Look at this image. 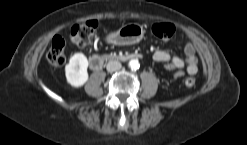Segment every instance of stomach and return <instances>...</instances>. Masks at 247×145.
<instances>
[{"mask_svg":"<svg viewBox=\"0 0 247 145\" xmlns=\"http://www.w3.org/2000/svg\"><path fill=\"white\" fill-rule=\"evenodd\" d=\"M144 35L139 24H127L107 36V41L115 45H132L141 41Z\"/></svg>","mask_w":247,"mask_h":145,"instance_id":"stomach-1","label":"stomach"}]
</instances>
